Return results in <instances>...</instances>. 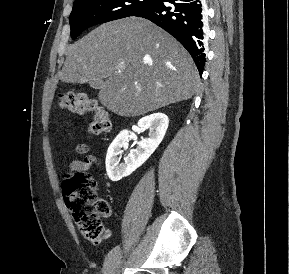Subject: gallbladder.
I'll use <instances>...</instances> for the list:
<instances>
[{"instance_id":"1","label":"gallbladder","mask_w":289,"mask_h":274,"mask_svg":"<svg viewBox=\"0 0 289 274\" xmlns=\"http://www.w3.org/2000/svg\"><path fill=\"white\" fill-rule=\"evenodd\" d=\"M90 86L93 87V88H95V89H98V85H97V84H92V83H90Z\"/></svg>"}]
</instances>
